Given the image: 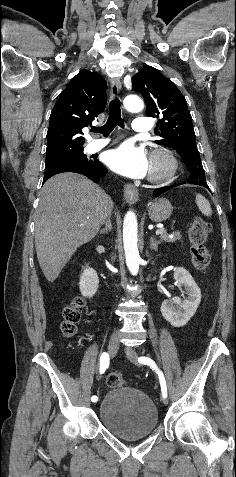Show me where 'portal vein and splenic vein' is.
<instances>
[{
	"label": "portal vein and splenic vein",
	"mask_w": 236,
	"mask_h": 477,
	"mask_svg": "<svg viewBox=\"0 0 236 477\" xmlns=\"http://www.w3.org/2000/svg\"><path fill=\"white\" fill-rule=\"evenodd\" d=\"M165 232H166V230H165L164 228H161V229L156 230L155 234H156V235H161V234H163V233H165Z\"/></svg>",
	"instance_id": "18ae733b"
}]
</instances>
